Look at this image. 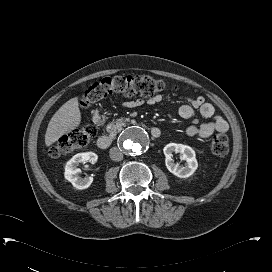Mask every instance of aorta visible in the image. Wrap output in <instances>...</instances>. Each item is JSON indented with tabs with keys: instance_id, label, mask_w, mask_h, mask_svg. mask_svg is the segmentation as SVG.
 <instances>
[{
	"instance_id": "aorta-1",
	"label": "aorta",
	"mask_w": 272,
	"mask_h": 272,
	"mask_svg": "<svg viewBox=\"0 0 272 272\" xmlns=\"http://www.w3.org/2000/svg\"><path fill=\"white\" fill-rule=\"evenodd\" d=\"M149 143L147 132L138 126L128 128L120 137V145L129 155L143 153L148 148Z\"/></svg>"
}]
</instances>
